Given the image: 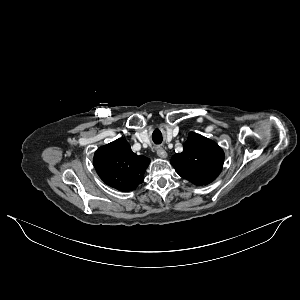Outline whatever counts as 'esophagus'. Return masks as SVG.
<instances>
[{
  "label": "esophagus",
  "mask_w": 300,
  "mask_h": 300,
  "mask_svg": "<svg viewBox=\"0 0 300 300\" xmlns=\"http://www.w3.org/2000/svg\"><path fill=\"white\" fill-rule=\"evenodd\" d=\"M156 152L160 158H163V159L167 158V152L161 146H158L156 148Z\"/></svg>",
  "instance_id": "1"
}]
</instances>
